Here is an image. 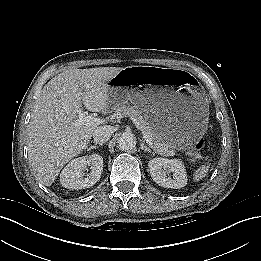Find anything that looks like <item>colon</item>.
<instances>
[{"mask_svg":"<svg viewBox=\"0 0 261 261\" xmlns=\"http://www.w3.org/2000/svg\"><path fill=\"white\" fill-rule=\"evenodd\" d=\"M202 144L203 142L201 140H199L196 145L194 146V149H193V156L196 158V159H199L201 157V153H200V149L202 147Z\"/></svg>","mask_w":261,"mask_h":261,"instance_id":"obj_1","label":"colon"}]
</instances>
